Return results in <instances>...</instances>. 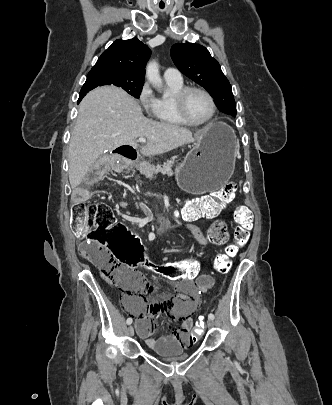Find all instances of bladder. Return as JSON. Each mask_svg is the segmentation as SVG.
<instances>
[{"label":"bladder","instance_id":"bladder-1","mask_svg":"<svg viewBox=\"0 0 332 405\" xmlns=\"http://www.w3.org/2000/svg\"><path fill=\"white\" fill-rule=\"evenodd\" d=\"M153 352L159 356L160 358L167 360V361H174V360H182L187 357V353H184L182 351H177V352H167L165 350H153Z\"/></svg>","mask_w":332,"mask_h":405}]
</instances>
